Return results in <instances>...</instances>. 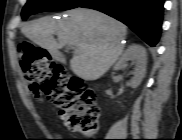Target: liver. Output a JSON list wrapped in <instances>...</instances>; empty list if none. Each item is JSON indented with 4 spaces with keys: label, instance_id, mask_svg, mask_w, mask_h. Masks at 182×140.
<instances>
[{
    "label": "liver",
    "instance_id": "1",
    "mask_svg": "<svg viewBox=\"0 0 182 140\" xmlns=\"http://www.w3.org/2000/svg\"><path fill=\"white\" fill-rule=\"evenodd\" d=\"M66 14L68 17L62 23L47 16L31 21L21 31L52 54L57 53L63 45L75 46L76 54L70 60L72 71L85 80H96L122 54V39L127 27L93 9L79 7ZM54 33H57L58 41L54 38Z\"/></svg>",
    "mask_w": 182,
    "mask_h": 140
}]
</instances>
